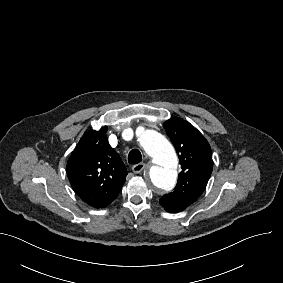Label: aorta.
Listing matches in <instances>:
<instances>
[{"label":"aorta","instance_id":"obj_1","mask_svg":"<svg viewBox=\"0 0 283 283\" xmlns=\"http://www.w3.org/2000/svg\"><path fill=\"white\" fill-rule=\"evenodd\" d=\"M140 146L156 164L150 168L151 182L157 188L170 191L176 184L178 159L172 144L155 130H145L138 136Z\"/></svg>","mask_w":283,"mask_h":283}]
</instances>
